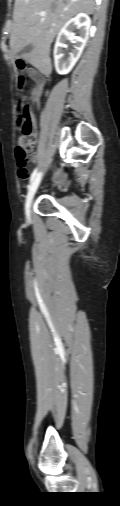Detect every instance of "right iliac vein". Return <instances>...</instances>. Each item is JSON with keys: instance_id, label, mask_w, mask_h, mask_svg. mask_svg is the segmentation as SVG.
<instances>
[{"instance_id": "right-iliac-vein-1", "label": "right iliac vein", "mask_w": 120, "mask_h": 506, "mask_svg": "<svg viewBox=\"0 0 120 506\" xmlns=\"http://www.w3.org/2000/svg\"><path fill=\"white\" fill-rule=\"evenodd\" d=\"M40 179H41V174H40V176H37L36 179L31 183L28 193H27V196H26L25 213H26V216L28 219L30 218V215H31V206H32L35 192L39 186Z\"/></svg>"}]
</instances>
